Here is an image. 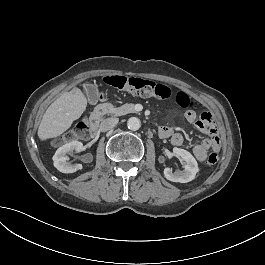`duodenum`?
<instances>
[{
    "label": "duodenum",
    "mask_w": 265,
    "mask_h": 265,
    "mask_svg": "<svg viewBox=\"0 0 265 265\" xmlns=\"http://www.w3.org/2000/svg\"><path fill=\"white\" fill-rule=\"evenodd\" d=\"M112 111L113 109L109 105V102H104L102 104L97 105L90 114V127L92 131L98 129L101 118Z\"/></svg>",
    "instance_id": "1"
}]
</instances>
